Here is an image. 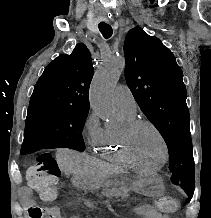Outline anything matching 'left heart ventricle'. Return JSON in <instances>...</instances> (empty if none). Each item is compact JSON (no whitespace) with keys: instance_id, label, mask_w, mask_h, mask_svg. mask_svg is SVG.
<instances>
[{"instance_id":"left-heart-ventricle-1","label":"left heart ventricle","mask_w":211,"mask_h":218,"mask_svg":"<svg viewBox=\"0 0 211 218\" xmlns=\"http://www.w3.org/2000/svg\"><path fill=\"white\" fill-rule=\"evenodd\" d=\"M134 155L145 164H159L163 150L156 133L147 126L139 127L132 140Z\"/></svg>"}]
</instances>
